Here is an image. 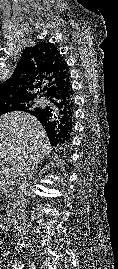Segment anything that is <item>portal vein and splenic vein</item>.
Segmentation results:
<instances>
[{"label":"portal vein and splenic vein","instance_id":"portal-vein-and-splenic-vein-1","mask_svg":"<svg viewBox=\"0 0 118 269\" xmlns=\"http://www.w3.org/2000/svg\"><path fill=\"white\" fill-rule=\"evenodd\" d=\"M10 171V169H3L2 171H0V172H2V173H8Z\"/></svg>","mask_w":118,"mask_h":269}]
</instances>
